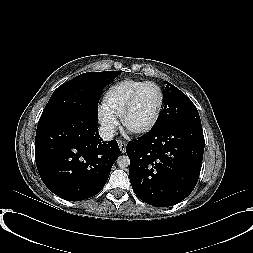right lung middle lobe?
Masks as SVG:
<instances>
[{
  "mask_svg": "<svg viewBox=\"0 0 253 253\" xmlns=\"http://www.w3.org/2000/svg\"><path fill=\"white\" fill-rule=\"evenodd\" d=\"M119 74V71L88 72L60 85L44 108L38 125L75 113L97 117L102 89Z\"/></svg>",
  "mask_w": 253,
  "mask_h": 253,
  "instance_id": "dd1d6c3e",
  "label": "right lung middle lobe"
}]
</instances>
